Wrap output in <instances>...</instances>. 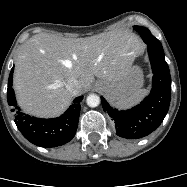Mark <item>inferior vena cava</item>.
Returning a JSON list of instances; mask_svg holds the SVG:
<instances>
[{
	"label": "inferior vena cava",
	"instance_id": "inferior-vena-cava-1",
	"mask_svg": "<svg viewBox=\"0 0 187 187\" xmlns=\"http://www.w3.org/2000/svg\"><path fill=\"white\" fill-rule=\"evenodd\" d=\"M67 89L69 92H71L72 94H77L79 89H80V85H79V82L78 80L76 79H71L69 81V83L67 84Z\"/></svg>",
	"mask_w": 187,
	"mask_h": 187
}]
</instances>
